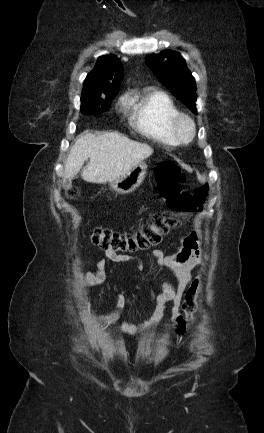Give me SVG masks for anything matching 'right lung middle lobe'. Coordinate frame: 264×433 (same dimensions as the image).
Here are the masks:
<instances>
[{"mask_svg":"<svg viewBox=\"0 0 264 433\" xmlns=\"http://www.w3.org/2000/svg\"><path fill=\"white\" fill-rule=\"evenodd\" d=\"M113 98L114 95L107 98L81 99V112L86 115L99 114L111 105Z\"/></svg>","mask_w":264,"mask_h":433,"instance_id":"1","label":"right lung middle lobe"}]
</instances>
